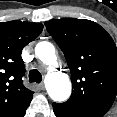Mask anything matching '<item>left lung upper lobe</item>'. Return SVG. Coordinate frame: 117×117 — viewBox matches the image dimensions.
Returning a JSON list of instances; mask_svg holds the SVG:
<instances>
[{
    "instance_id": "obj_1",
    "label": "left lung upper lobe",
    "mask_w": 117,
    "mask_h": 117,
    "mask_svg": "<svg viewBox=\"0 0 117 117\" xmlns=\"http://www.w3.org/2000/svg\"><path fill=\"white\" fill-rule=\"evenodd\" d=\"M63 51L71 72L73 91L63 107L102 117L117 94V47L97 23L75 18L45 22Z\"/></svg>"
}]
</instances>
